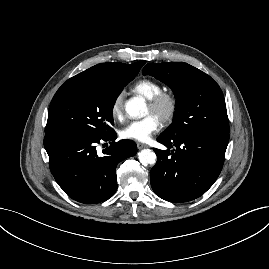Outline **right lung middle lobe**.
Instances as JSON below:
<instances>
[{"mask_svg":"<svg viewBox=\"0 0 269 269\" xmlns=\"http://www.w3.org/2000/svg\"><path fill=\"white\" fill-rule=\"evenodd\" d=\"M129 76H74L54 95L46 135L64 132L103 137L114 132L113 106Z\"/></svg>","mask_w":269,"mask_h":269,"instance_id":"1","label":"right lung middle lobe"}]
</instances>
